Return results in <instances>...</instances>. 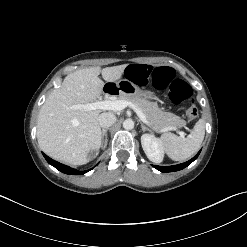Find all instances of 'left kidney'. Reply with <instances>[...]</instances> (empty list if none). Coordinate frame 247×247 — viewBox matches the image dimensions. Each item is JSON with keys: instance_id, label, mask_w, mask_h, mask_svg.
<instances>
[{"instance_id": "left-kidney-1", "label": "left kidney", "mask_w": 247, "mask_h": 247, "mask_svg": "<svg viewBox=\"0 0 247 247\" xmlns=\"http://www.w3.org/2000/svg\"><path fill=\"white\" fill-rule=\"evenodd\" d=\"M142 148L148 159L155 163H160L164 158V147L162 141L153 134H143L141 136Z\"/></svg>"}]
</instances>
